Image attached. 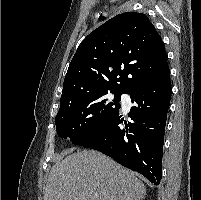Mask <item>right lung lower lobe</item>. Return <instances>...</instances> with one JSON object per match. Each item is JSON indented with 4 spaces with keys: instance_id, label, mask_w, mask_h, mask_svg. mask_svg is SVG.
<instances>
[{
    "instance_id": "right-lung-lower-lobe-1",
    "label": "right lung lower lobe",
    "mask_w": 201,
    "mask_h": 200,
    "mask_svg": "<svg viewBox=\"0 0 201 200\" xmlns=\"http://www.w3.org/2000/svg\"><path fill=\"white\" fill-rule=\"evenodd\" d=\"M131 107L124 122L119 110L94 130L72 143L98 150L137 171L154 185L162 178V156L167 112L171 99L169 70L130 93ZM125 123V127L121 124Z\"/></svg>"
}]
</instances>
